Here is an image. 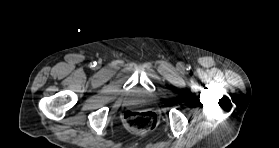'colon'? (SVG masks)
<instances>
[{
	"mask_svg": "<svg viewBox=\"0 0 279 148\" xmlns=\"http://www.w3.org/2000/svg\"><path fill=\"white\" fill-rule=\"evenodd\" d=\"M124 122L128 128L137 132H145L155 128L157 116L151 111H127Z\"/></svg>",
	"mask_w": 279,
	"mask_h": 148,
	"instance_id": "1",
	"label": "colon"
}]
</instances>
